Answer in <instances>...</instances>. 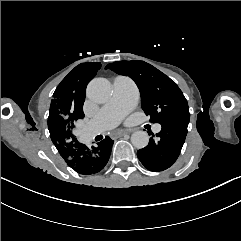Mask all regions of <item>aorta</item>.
I'll use <instances>...</instances> for the list:
<instances>
[{
    "label": "aorta",
    "mask_w": 241,
    "mask_h": 241,
    "mask_svg": "<svg viewBox=\"0 0 241 241\" xmlns=\"http://www.w3.org/2000/svg\"><path fill=\"white\" fill-rule=\"evenodd\" d=\"M111 84L105 78L93 79L87 87V96L96 103H104L111 97ZM131 142L137 149L146 147L149 143V135L146 131H136L131 135Z\"/></svg>",
    "instance_id": "aorta-1"
}]
</instances>
